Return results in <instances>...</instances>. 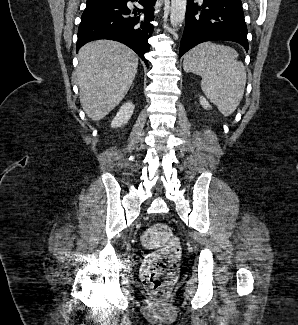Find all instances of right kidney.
<instances>
[{
  "label": "right kidney",
  "mask_w": 298,
  "mask_h": 325,
  "mask_svg": "<svg viewBox=\"0 0 298 325\" xmlns=\"http://www.w3.org/2000/svg\"><path fill=\"white\" fill-rule=\"evenodd\" d=\"M135 108V104H132V102H124L122 106H120L116 116H114L111 126H122V124H126L128 122L129 118H131L133 114V110Z\"/></svg>",
  "instance_id": "right-kidney-1"
}]
</instances>
